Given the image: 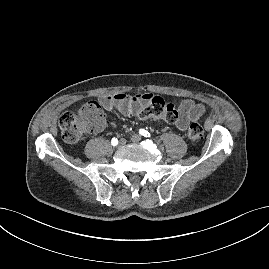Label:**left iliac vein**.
<instances>
[{
	"label": "left iliac vein",
	"instance_id": "obj_1",
	"mask_svg": "<svg viewBox=\"0 0 269 269\" xmlns=\"http://www.w3.org/2000/svg\"><path fill=\"white\" fill-rule=\"evenodd\" d=\"M131 140H132V142H134V143H138V142L141 141V136H140L139 134H133V135L131 136Z\"/></svg>",
	"mask_w": 269,
	"mask_h": 269
}]
</instances>
